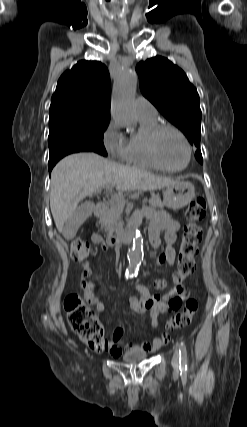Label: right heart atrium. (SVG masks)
I'll list each match as a JSON object with an SVG mask.
<instances>
[{
	"label": "right heart atrium",
	"mask_w": 247,
	"mask_h": 427,
	"mask_svg": "<svg viewBox=\"0 0 247 427\" xmlns=\"http://www.w3.org/2000/svg\"><path fill=\"white\" fill-rule=\"evenodd\" d=\"M126 138L118 124L111 120L102 134V143L105 150L114 158L124 160L126 149Z\"/></svg>",
	"instance_id": "right-heart-atrium-1"
}]
</instances>
